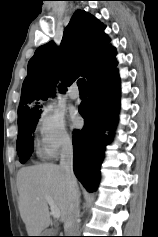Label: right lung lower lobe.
Here are the masks:
<instances>
[{
	"label": "right lung lower lobe",
	"mask_w": 158,
	"mask_h": 237,
	"mask_svg": "<svg viewBox=\"0 0 158 237\" xmlns=\"http://www.w3.org/2000/svg\"><path fill=\"white\" fill-rule=\"evenodd\" d=\"M87 92V99L79 106L84 127L73 133V167L79 181L92 192L98 184L104 147L110 140L104 131H113L117 123L120 94L118 70L114 67L92 79L87 83Z\"/></svg>",
	"instance_id": "1"
}]
</instances>
